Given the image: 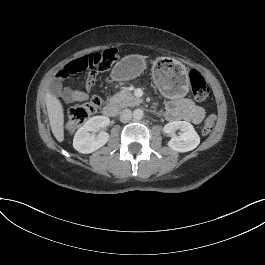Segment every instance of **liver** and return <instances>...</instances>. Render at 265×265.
<instances>
[{
    "label": "liver",
    "instance_id": "obj_1",
    "mask_svg": "<svg viewBox=\"0 0 265 265\" xmlns=\"http://www.w3.org/2000/svg\"><path fill=\"white\" fill-rule=\"evenodd\" d=\"M134 57L140 59L150 58V56L139 54H135ZM45 99L51 132L57 142L62 143L64 141V107L58 97L49 90L46 92Z\"/></svg>",
    "mask_w": 265,
    "mask_h": 265
}]
</instances>
